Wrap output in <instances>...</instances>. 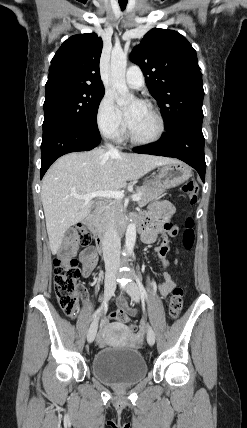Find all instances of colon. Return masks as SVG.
<instances>
[{
    "mask_svg": "<svg viewBox=\"0 0 247 428\" xmlns=\"http://www.w3.org/2000/svg\"><path fill=\"white\" fill-rule=\"evenodd\" d=\"M197 184L191 179L183 186L182 191L187 195L192 205L197 203ZM91 243V235L86 227L77 224L69 233V242L54 258V288L58 303L63 312L70 318H75L79 312V297L83 288L79 284L80 268L76 258L79 246H88ZM195 243L194 220L188 217L185 221V230L182 236V245L186 251H190ZM184 291L181 287L172 290L169 299V315L176 319L183 307ZM140 310L134 308L118 309L112 314L115 322L126 325V329L132 332L138 331L137 325H132L134 316L140 315Z\"/></svg>",
    "mask_w": 247,
    "mask_h": 428,
    "instance_id": "colon-1",
    "label": "colon"
}]
</instances>
